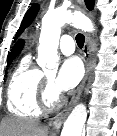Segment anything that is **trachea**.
Masks as SVG:
<instances>
[{"mask_svg":"<svg viewBox=\"0 0 117 136\" xmlns=\"http://www.w3.org/2000/svg\"><path fill=\"white\" fill-rule=\"evenodd\" d=\"M76 42H77V45H78L80 48H82L83 45H84V42H85V37H84V35L81 34V33H78V34L76 35Z\"/></svg>","mask_w":117,"mask_h":136,"instance_id":"1","label":"trachea"}]
</instances>
